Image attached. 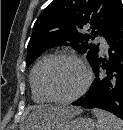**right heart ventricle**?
Returning a JSON list of instances; mask_svg holds the SVG:
<instances>
[{"mask_svg":"<svg viewBox=\"0 0 123 130\" xmlns=\"http://www.w3.org/2000/svg\"><path fill=\"white\" fill-rule=\"evenodd\" d=\"M52 57L53 55L51 54L43 55L36 61L31 69L29 83L31 87L32 98L36 103L43 104L51 101L50 98L45 94L42 87V73Z\"/></svg>","mask_w":123,"mask_h":130,"instance_id":"1","label":"right heart ventricle"}]
</instances>
